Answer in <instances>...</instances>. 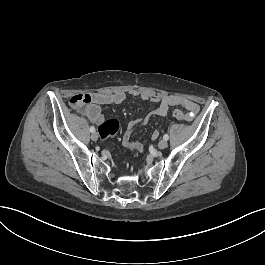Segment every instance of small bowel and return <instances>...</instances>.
<instances>
[{"label": "small bowel", "mask_w": 265, "mask_h": 265, "mask_svg": "<svg viewBox=\"0 0 265 265\" xmlns=\"http://www.w3.org/2000/svg\"><path fill=\"white\" fill-rule=\"evenodd\" d=\"M142 100L157 104V107L145 118L139 120H131L127 124V128L122 135V144L124 147L134 152H143L144 143L142 141H132V134L137 126L147 124L151 116H165L171 107L180 106L184 108L188 115V121H191L199 111V105L186 97L179 95H150L146 92L137 94ZM126 100V94L123 91L97 92L93 94L92 102L79 111L90 122L99 124L103 120L101 106L121 104ZM159 136V131L152 132V140H156Z\"/></svg>", "instance_id": "obj_1"}]
</instances>
